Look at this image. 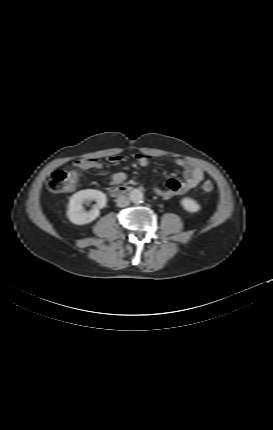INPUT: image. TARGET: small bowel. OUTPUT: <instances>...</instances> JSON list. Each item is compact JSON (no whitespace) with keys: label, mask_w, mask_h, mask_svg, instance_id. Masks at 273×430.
<instances>
[{"label":"small bowel","mask_w":273,"mask_h":430,"mask_svg":"<svg viewBox=\"0 0 273 430\" xmlns=\"http://www.w3.org/2000/svg\"><path fill=\"white\" fill-rule=\"evenodd\" d=\"M108 160L112 164H118L123 160V158L121 156H111ZM136 161L140 166L145 167L149 164L150 157L146 154H138L136 155ZM175 163L182 169L184 181H179L173 174L169 175L165 189H161L156 186L154 187L155 194L161 199L168 200L174 196L184 194L198 186L204 178V171L202 168L181 158L176 159ZM74 166H80V168L83 169H88L89 167L99 168L100 163L96 158H83L75 160ZM125 179L126 175L123 172H116L111 177L113 184H120Z\"/></svg>","instance_id":"small-bowel-1"}]
</instances>
